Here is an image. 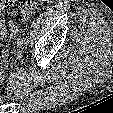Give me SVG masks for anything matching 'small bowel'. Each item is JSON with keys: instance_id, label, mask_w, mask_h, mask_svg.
<instances>
[{"instance_id": "obj_1", "label": "small bowel", "mask_w": 113, "mask_h": 113, "mask_svg": "<svg viewBox=\"0 0 113 113\" xmlns=\"http://www.w3.org/2000/svg\"><path fill=\"white\" fill-rule=\"evenodd\" d=\"M2 14L0 12V44L4 39V31H5V20L3 19V17H1Z\"/></svg>"}]
</instances>
